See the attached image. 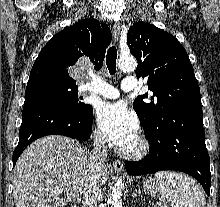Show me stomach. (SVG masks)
<instances>
[{"label": "stomach", "mask_w": 220, "mask_h": 207, "mask_svg": "<svg viewBox=\"0 0 220 207\" xmlns=\"http://www.w3.org/2000/svg\"><path fill=\"white\" fill-rule=\"evenodd\" d=\"M142 187L151 196H155L158 192H160L159 191L160 186L157 180L153 178H148L147 180H145Z\"/></svg>", "instance_id": "stomach-1"}]
</instances>
